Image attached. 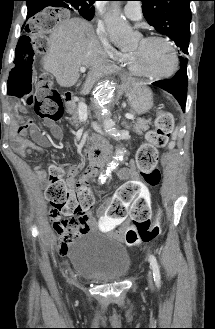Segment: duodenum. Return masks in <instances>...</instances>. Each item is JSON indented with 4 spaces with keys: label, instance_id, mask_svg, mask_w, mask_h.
<instances>
[{
    "label": "duodenum",
    "instance_id": "1",
    "mask_svg": "<svg viewBox=\"0 0 215 329\" xmlns=\"http://www.w3.org/2000/svg\"><path fill=\"white\" fill-rule=\"evenodd\" d=\"M64 103L69 106L72 104L74 94L65 92L62 96ZM87 159L90 161L94 169H99L101 166L110 161V147L104 140H96L95 145L88 148L85 152Z\"/></svg>",
    "mask_w": 215,
    "mask_h": 329
}]
</instances>
